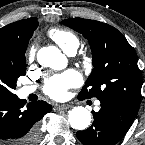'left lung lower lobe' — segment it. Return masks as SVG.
Returning <instances> with one entry per match:
<instances>
[{"mask_svg":"<svg viewBox=\"0 0 145 145\" xmlns=\"http://www.w3.org/2000/svg\"><path fill=\"white\" fill-rule=\"evenodd\" d=\"M94 122L76 136L83 145H115L132 125L137 110L115 102H101L99 112H92Z\"/></svg>","mask_w":145,"mask_h":145,"instance_id":"1","label":"left lung lower lobe"}]
</instances>
